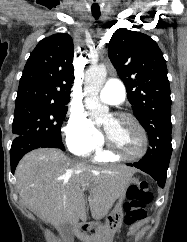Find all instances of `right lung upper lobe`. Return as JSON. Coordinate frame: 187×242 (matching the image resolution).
<instances>
[{"label": "right lung upper lobe", "instance_id": "1", "mask_svg": "<svg viewBox=\"0 0 187 242\" xmlns=\"http://www.w3.org/2000/svg\"><path fill=\"white\" fill-rule=\"evenodd\" d=\"M73 41L59 33L41 40L32 51L19 83L15 107L66 106L70 101Z\"/></svg>", "mask_w": 187, "mask_h": 242}]
</instances>
